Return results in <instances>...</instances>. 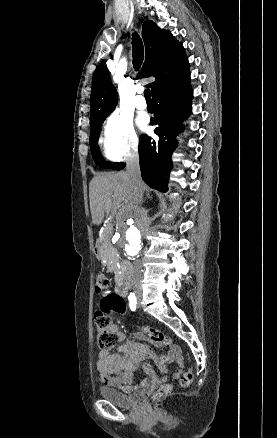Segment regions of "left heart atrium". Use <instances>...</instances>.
Returning <instances> with one entry per match:
<instances>
[{
    "mask_svg": "<svg viewBox=\"0 0 277 438\" xmlns=\"http://www.w3.org/2000/svg\"><path fill=\"white\" fill-rule=\"evenodd\" d=\"M138 123H139V126H140L142 129H145V128H146V123H147V117L144 116V115L141 116V117L139 118Z\"/></svg>",
    "mask_w": 277,
    "mask_h": 438,
    "instance_id": "1",
    "label": "left heart atrium"
}]
</instances>
